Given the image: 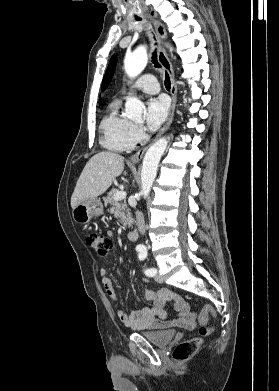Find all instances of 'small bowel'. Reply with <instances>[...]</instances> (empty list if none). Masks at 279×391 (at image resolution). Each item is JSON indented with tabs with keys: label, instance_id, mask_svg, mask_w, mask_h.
Returning a JSON list of instances; mask_svg holds the SVG:
<instances>
[{
	"label": "small bowel",
	"instance_id": "1",
	"mask_svg": "<svg viewBox=\"0 0 279 391\" xmlns=\"http://www.w3.org/2000/svg\"><path fill=\"white\" fill-rule=\"evenodd\" d=\"M107 233L109 236L113 235V232L110 230ZM117 272L119 277L123 279L122 271L118 269ZM99 273L106 293L116 308L117 316L126 327L133 330L167 329L172 327L194 328L195 314L191 311L190 306L182 297L166 288L147 289L145 292L146 299L152 301L153 305L129 314L125 313L119 306L112 279L107 276L106 269L101 268ZM170 302H174V309L177 314L170 319H166L165 305Z\"/></svg>",
	"mask_w": 279,
	"mask_h": 391
}]
</instances>
